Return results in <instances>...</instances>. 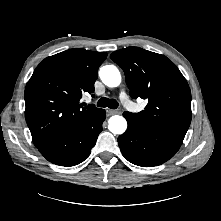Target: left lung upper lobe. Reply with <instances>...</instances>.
<instances>
[{
	"instance_id": "obj_1",
	"label": "left lung upper lobe",
	"mask_w": 221,
	"mask_h": 221,
	"mask_svg": "<svg viewBox=\"0 0 221 221\" xmlns=\"http://www.w3.org/2000/svg\"><path fill=\"white\" fill-rule=\"evenodd\" d=\"M110 57L123 69L130 96L148 100L145 110L126 113L155 139L181 146L192 112L190 88L177 66L139 47L115 51Z\"/></svg>"
}]
</instances>
